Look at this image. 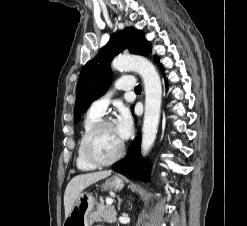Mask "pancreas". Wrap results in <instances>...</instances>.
<instances>
[{"label":"pancreas","instance_id":"pancreas-1","mask_svg":"<svg viewBox=\"0 0 247 226\" xmlns=\"http://www.w3.org/2000/svg\"><path fill=\"white\" fill-rule=\"evenodd\" d=\"M91 222L104 221L112 223L116 221V212L111 205H105L103 202L97 205V210L90 216Z\"/></svg>","mask_w":247,"mask_h":226}]
</instances>
